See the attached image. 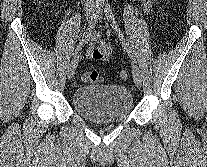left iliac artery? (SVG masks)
<instances>
[{
  "mask_svg": "<svg viewBox=\"0 0 207 167\" xmlns=\"http://www.w3.org/2000/svg\"><path fill=\"white\" fill-rule=\"evenodd\" d=\"M103 8H104V12L106 14L107 20L110 22L112 28L118 34V37L120 38V41L122 42V45H123L124 49L128 53L129 57L133 60V62L136 63L135 59H134V55L132 53V49L129 46V43L126 41L123 33L121 32V30H120V28L118 26V23L116 22V20H115V18L113 16V13H112V10L110 8V5H109V3L107 1L103 2Z\"/></svg>",
  "mask_w": 207,
  "mask_h": 167,
  "instance_id": "1",
  "label": "left iliac artery"
}]
</instances>
